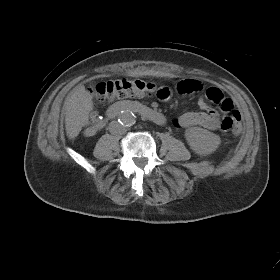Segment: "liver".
Here are the masks:
<instances>
[{"label": "liver", "mask_w": 280, "mask_h": 280, "mask_svg": "<svg viewBox=\"0 0 280 280\" xmlns=\"http://www.w3.org/2000/svg\"><path fill=\"white\" fill-rule=\"evenodd\" d=\"M65 128L69 139L78 136L93 110L92 95L84 86L77 87L65 102Z\"/></svg>", "instance_id": "1"}]
</instances>
